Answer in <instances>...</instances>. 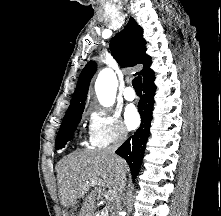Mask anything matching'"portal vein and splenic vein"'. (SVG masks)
<instances>
[{
    "label": "portal vein and splenic vein",
    "instance_id": "18ae733b",
    "mask_svg": "<svg viewBox=\"0 0 221 216\" xmlns=\"http://www.w3.org/2000/svg\"><path fill=\"white\" fill-rule=\"evenodd\" d=\"M114 194H115L114 191L109 190V191H107V192L105 193V198H106L107 200H113Z\"/></svg>",
    "mask_w": 221,
    "mask_h": 216
}]
</instances>
